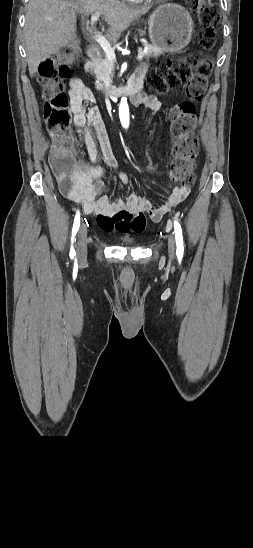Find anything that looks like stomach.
Returning <instances> with one entry per match:
<instances>
[{
	"label": "stomach",
	"mask_w": 253,
	"mask_h": 548,
	"mask_svg": "<svg viewBox=\"0 0 253 548\" xmlns=\"http://www.w3.org/2000/svg\"><path fill=\"white\" fill-rule=\"evenodd\" d=\"M148 25L152 44L169 52L179 51L187 46L194 28L188 11L174 3L156 8L149 18Z\"/></svg>",
	"instance_id": "1"
}]
</instances>
